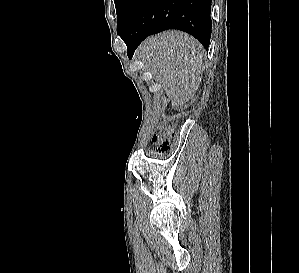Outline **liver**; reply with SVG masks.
Masks as SVG:
<instances>
[{"label": "liver", "instance_id": "1", "mask_svg": "<svg viewBox=\"0 0 299 273\" xmlns=\"http://www.w3.org/2000/svg\"><path fill=\"white\" fill-rule=\"evenodd\" d=\"M202 45L180 31H166L146 39L137 50V58L162 84L177 108L197 91L204 70Z\"/></svg>", "mask_w": 299, "mask_h": 273}]
</instances>
